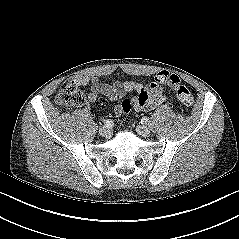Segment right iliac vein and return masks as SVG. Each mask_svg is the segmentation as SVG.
<instances>
[{"label":"right iliac vein","mask_w":239,"mask_h":239,"mask_svg":"<svg viewBox=\"0 0 239 239\" xmlns=\"http://www.w3.org/2000/svg\"><path fill=\"white\" fill-rule=\"evenodd\" d=\"M99 134L103 137H109L111 135V130L104 126L99 129Z\"/></svg>","instance_id":"63e3f726"}]
</instances>
